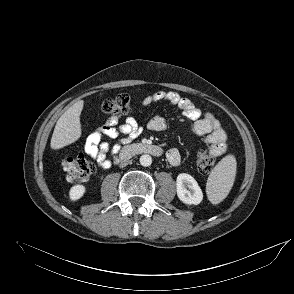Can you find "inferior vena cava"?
Returning a JSON list of instances; mask_svg holds the SVG:
<instances>
[{
	"mask_svg": "<svg viewBox=\"0 0 294 294\" xmlns=\"http://www.w3.org/2000/svg\"><path fill=\"white\" fill-rule=\"evenodd\" d=\"M127 164H128V161H123V162H121L120 167H124V166H126Z\"/></svg>",
	"mask_w": 294,
	"mask_h": 294,
	"instance_id": "1",
	"label": "inferior vena cava"
}]
</instances>
